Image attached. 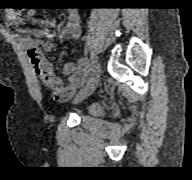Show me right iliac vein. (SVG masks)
<instances>
[{"instance_id": "obj_1", "label": "right iliac vein", "mask_w": 192, "mask_h": 180, "mask_svg": "<svg viewBox=\"0 0 192 180\" xmlns=\"http://www.w3.org/2000/svg\"><path fill=\"white\" fill-rule=\"evenodd\" d=\"M99 77H100V69L99 66H97V68L92 73V76L88 81L87 85L77 95L76 101H82L95 91L99 82Z\"/></svg>"}]
</instances>
